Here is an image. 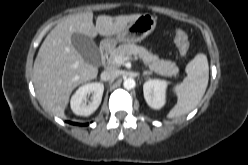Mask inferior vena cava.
<instances>
[{"label": "inferior vena cava", "mask_w": 248, "mask_h": 165, "mask_svg": "<svg viewBox=\"0 0 248 165\" xmlns=\"http://www.w3.org/2000/svg\"><path fill=\"white\" fill-rule=\"evenodd\" d=\"M119 70L116 69H106L101 73V80L109 81L117 78L119 76Z\"/></svg>", "instance_id": "obj_1"}]
</instances>
